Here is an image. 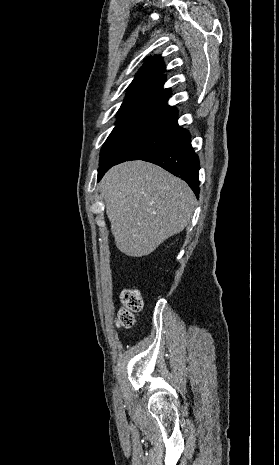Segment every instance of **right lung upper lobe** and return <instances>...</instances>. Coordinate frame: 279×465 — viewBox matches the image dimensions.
Wrapping results in <instances>:
<instances>
[{"label": "right lung upper lobe", "mask_w": 279, "mask_h": 465, "mask_svg": "<svg viewBox=\"0 0 279 465\" xmlns=\"http://www.w3.org/2000/svg\"><path fill=\"white\" fill-rule=\"evenodd\" d=\"M163 72L165 69L161 57L147 59L127 89L126 98L118 111L116 125H177V110L166 104L171 93L168 89H163L166 79Z\"/></svg>", "instance_id": "cb5924a9"}]
</instances>
